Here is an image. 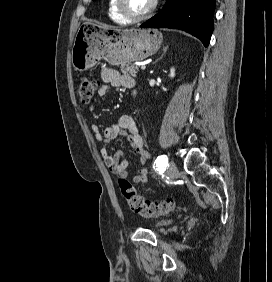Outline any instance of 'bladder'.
I'll list each match as a JSON object with an SVG mask.
<instances>
[{
  "label": "bladder",
  "instance_id": "31cf9c89",
  "mask_svg": "<svg viewBox=\"0 0 272 282\" xmlns=\"http://www.w3.org/2000/svg\"><path fill=\"white\" fill-rule=\"evenodd\" d=\"M172 223H173V220H171V219H165V220H161V221L156 222V223L154 224V226L159 229V228L166 227V226H168V225H170V224H172Z\"/></svg>",
  "mask_w": 272,
  "mask_h": 282
}]
</instances>
